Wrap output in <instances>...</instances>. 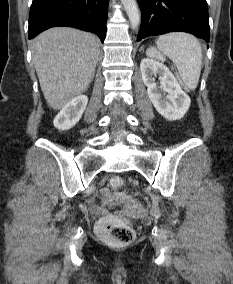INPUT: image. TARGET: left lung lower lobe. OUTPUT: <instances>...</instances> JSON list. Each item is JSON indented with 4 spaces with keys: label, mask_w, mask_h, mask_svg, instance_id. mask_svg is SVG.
Instances as JSON below:
<instances>
[{
    "label": "left lung lower lobe",
    "mask_w": 233,
    "mask_h": 284,
    "mask_svg": "<svg viewBox=\"0 0 233 284\" xmlns=\"http://www.w3.org/2000/svg\"><path fill=\"white\" fill-rule=\"evenodd\" d=\"M142 21L138 41L151 35L182 31L209 42L206 0H137Z\"/></svg>",
    "instance_id": "left-lung-lower-lobe-1"
}]
</instances>
